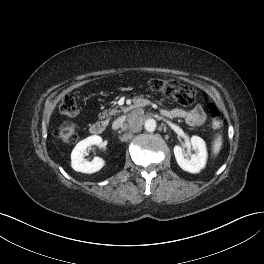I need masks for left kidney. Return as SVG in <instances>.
<instances>
[{"instance_id":"5707ae66","label":"left kidney","mask_w":264,"mask_h":264,"mask_svg":"<svg viewBox=\"0 0 264 264\" xmlns=\"http://www.w3.org/2000/svg\"><path fill=\"white\" fill-rule=\"evenodd\" d=\"M191 146L195 151L190 158L185 157L184 150L176 145L174 147V155L177 164L185 171L190 173H198L203 169L207 162V149L204 140L198 136L191 137Z\"/></svg>"}]
</instances>
